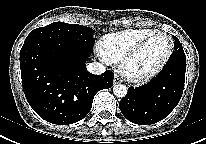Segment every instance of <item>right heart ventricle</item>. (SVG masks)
I'll return each instance as SVG.
<instances>
[{
    "label": "right heart ventricle",
    "mask_w": 206,
    "mask_h": 144,
    "mask_svg": "<svg viewBox=\"0 0 206 144\" xmlns=\"http://www.w3.org/2000/svg\"><path fill=\"white\" fill-rule=\"evenodd\" d=\"M155 31L151 28H138L112 33L101 40L100 47L110 62L118 63L139 41Z\"/></svg>",
    "instance_id": "1"
}]
</instances>
